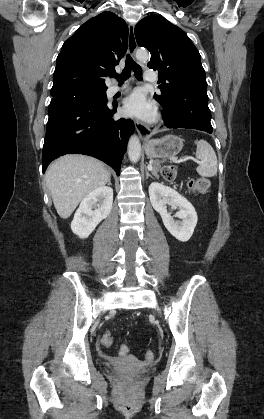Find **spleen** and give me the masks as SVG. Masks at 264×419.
<instances>
[{
  "mask_svg": "<svg viewBox=\"0 0 264 419\" xmlns=\"http://www.w3.org/2000/svg\"><path fill=\"white\" fill-rule=\"evenodd\" d=\"M196 157L200 160L196 171L203 177H212L217 174V157L212 146L205 140H196Z\"/></svg>",
  "mask_w": 264,
  "mask_h": 419,
  "instance_id": "spleen-1",
  "label": "spleen"
}]
</instances>
